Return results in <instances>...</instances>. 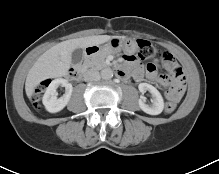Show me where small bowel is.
<instances>
[{
	"mask_svg": "<svg viewBox=\"0 0 219 174\" xmlns=\"http://www.w3.org/2000/svg\"><path fill=\"white\" fill-rule=\"evenodd\" d=\"M124 63L125 70L122 69L124 72H131L136 78H140L142 76V68L138 64L134 55H126ZM164 65L171 73V78L159 77L156 73L155 66L148 67L147 76L151 81L158 82L162 85H169V88L163 92V99L166 102L180 103L183 100V93L185 90L184 74L182 72V75L180 76L174 75V71L180 67L170 53L165 54Z\"/></svg>",
	"mask_w": 219,
	"mask_h": 174,
	"instance_id": "obj_1",
	"label": "small bowel"
}]
</instances>
